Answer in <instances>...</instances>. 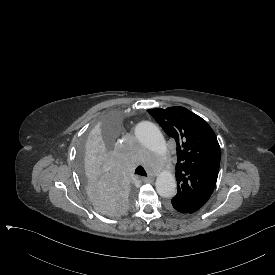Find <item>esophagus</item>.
<instances>
[{
    "instance_id": "esophagus-1",
    "label": "esophagus",
    "mask_w": 275,
    "mask_h": 275,
    "mask_svg": "<svg viewBox=\"0 0 275 275\" xmlns=\"http://www.w3.org/2000/svg\"><path fill=\"white\" fill-rule=\"evenodd\" d=\"M142 181H143V182H151L152 179H151V178L145 177V178H142Z\"/></svg>"
}]
</instances>
